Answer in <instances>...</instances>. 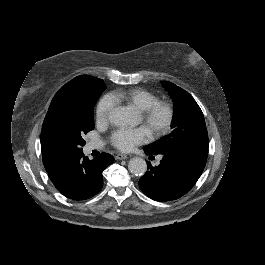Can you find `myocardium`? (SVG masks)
Wrapping results in <instances>:
<instances>
[{
	"mask_svg": "<svg viewBox=\"0 0 265 265\" xmlns=\"http://www.w3.org/2000/svg\"><path fill=\"white\" fill-rule=\"evenodd\" d=\"M142 122L155 137H160L168 132L171 127L174 112L172 107L161 101H157L146 110L139 112ZM161 115L162 119L155 124V119Z\"/></svg>",
	"mask_w": 265,
	"mask_h": 265,
	"instance_id": "f54148a6",
	"label": "myocardium"
}]
</instances>
